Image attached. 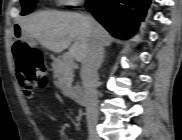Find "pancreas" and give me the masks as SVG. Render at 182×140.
I'll return each instance as SVG.
<instances>
[{"label": "pancreas", "instance_id": "obj_1", "mask_svg": "<svg viewBox=\"0 0 182 140\" xmlns=\"http://www.w3.org/2000/svg\"><path fill=\"white\" fill-rule=\"evenodd\" d=\"M54 82L59 89L67 90L73 82V65L65 59H57L52 63Z\"/></svg>", "mask_w": 182, "mask_h": 140}]
</instances>
